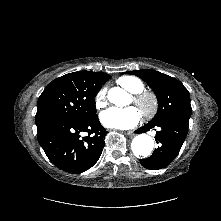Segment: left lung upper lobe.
<instances>
[{"label":"left lung upper lobe","mask_w":221,"mask_h":221,"mask_svg":"<svg viewBox=\"0 0 221 221\" xmlns=\"http://www.w3.org/2000/svg\"><path fill=\"white\" fill-rule=\"evenodd\" d=\"M125 74L143 79L157 96L158 111L149 123H158L170 117L191 116L189 92L177 79L152 69L127 71Z\"/></svg>","instance_id":"obj_1"}]
</instances>
